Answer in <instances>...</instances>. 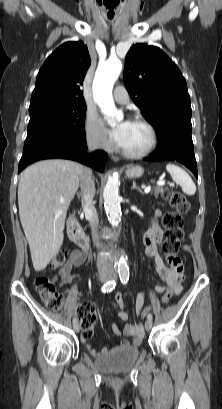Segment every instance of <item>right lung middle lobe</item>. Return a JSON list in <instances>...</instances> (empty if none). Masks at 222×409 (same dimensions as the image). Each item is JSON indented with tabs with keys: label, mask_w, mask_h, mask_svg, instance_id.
Masks as SVG:
<instances>
[{
	"label": "right lung middle lobe",
	"mask_w": 222,
	"mask_h": 409,
	"mask_svg": "<svg viewBox=\"0 0 222 409\" xmlns=\"http://www.w3.org/2000/svg\"><path fill=\"white\" fill-rule=\"evenodd\" d=\"M85 102L45 104L29 109L23 154L40 149L73 150L85 140Z\"/></svg>",
	"instance_id": "right-lung-middle-lobe-1"
}]
</instances>
